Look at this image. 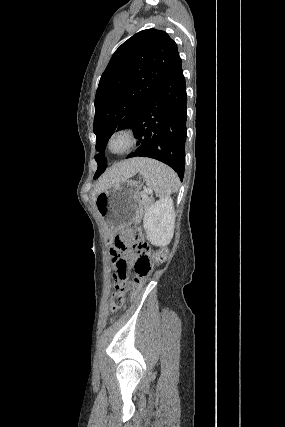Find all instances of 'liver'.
Returning <instances> with one entry per match:
<instances>
[{
  "mask_svg": "<svg viewBox=\"0 0 285 427\" xmlns=\"http://www.w3.org/2000/svg\"><path fill=\"white\" fill-rule=\"evenodd\" d=\"M146 159L133 158L124 160L109 168L98 180L93 191V198L111 185L134 176L141 168Z\"/></svg>",
  "mask_w": 285,
  "mask_h": 427,
  "instance_id": "1",
  "label": "liver"
}]
</instances>
